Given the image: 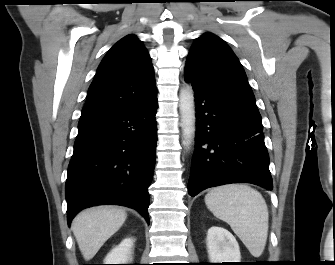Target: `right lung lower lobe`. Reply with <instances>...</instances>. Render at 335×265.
<instances>
[{
	"instance_id": "98d812e1",
	"label": "right lung lower lobe",
	"mask_w": 335,
	"mask_h": 265,
	"mask_svg": "<svg viewBox=\"0 0 335 265\" xmlns=\"http://www.w3.org/2000/svg\"><path fill=\"white\" fill-rule=\"evenodd\" d=\"M157 107L155 97L134 108L80 119L65 188L68 225L80 210L99 204L131 207L149 223Z\"/></svg>"
}]
</instances>
